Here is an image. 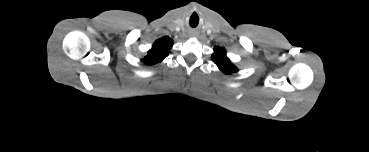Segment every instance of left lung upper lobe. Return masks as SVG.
Returning <instances> with one entry per match:
<instances>
[{
  "mask_svg": "<svg viewBox=\"0 0 369 152\" xmlns=\"http://www.w3.org/2000/svg\"><path fill=\"white\" fill-rule=\"evenodd\" d=\"M215 52L212 55L214 63L218 68L225 74H231L237 72V68L230 62L229 58L226 56L224 48L216 47Z\"/></svg>",
  "mask_w": 369,
  "mask_h": 152,
  "instance_id": "5c2ea615",
  "label": "left lung upper lobe"
}]
</instances>
